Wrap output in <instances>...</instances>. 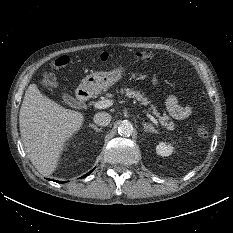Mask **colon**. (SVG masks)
Segmentation results:
<instances>
[{"label":"colon","mask_w":233,"mask_h":233,"mask_svg":"<svg viewBox=\"0 0 233 233\" xmlns=\"http://www.w3.org/2000/svg\"><path fill=\"white\" fill-rule=\"evenodd\" d=\"M110 58H111L110 55L106 52L100 53L98 55V59L102 62H107L110 60ZM135 58L138 60L148 61L153 58V54L150 51H140L135 53ZM69 62H70V58L67 55H61L53 60L52 66L54 68H62L65 67L67 64H69ZM43 81H44V85L48 89H52L56 86L55 77L52 73H46L44 75ZM197 135L201 139H206L209 135V132L205 126L200 125L197 128Z\"/></svg>","instance_id":"5ec220e1"}]
</instances>
